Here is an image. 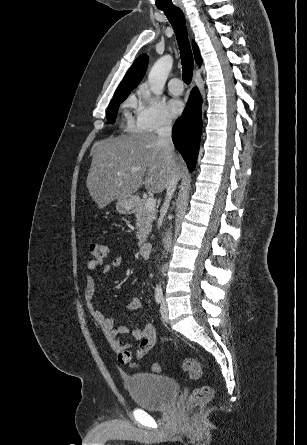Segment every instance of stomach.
Instances as JSON below:
<instances>
[{
  "label": "stomach",
  "instance_id": "obj_1",
  "mask_svg": "<svg viewBox=\"0 0 307 445\" xmlns=\"http://www.w3.org/2000/svg\"><path fill=\"white\" fill-rule=\"evenodd\" d=\"M133 208H135V200L132 196H120V198H117L116 210L120 214H131Z\"/></svg>",
  "mask_w": 307,
  "mask_h": 445
}]
</instances>
